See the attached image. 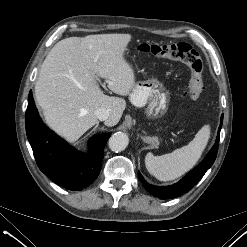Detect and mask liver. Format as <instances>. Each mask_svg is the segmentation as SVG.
I'll return each mask as SVG.
<instances>
[{"label": "liver", "instance_id": "obj_1", "mask_svg": "<svg viewBox=\"0 0 247 247\" xmlns=\"http://www.w3.org/2000/svg\"><path fill=\"white\" fill-rule=\"evenodd\" d=\"M131 38L130 34L69 37L51 49L42 64L35 97L46 123L58 135L75 142L98 123L95 111L99 108L110 112L107 126L119 122L126 101L105 95L97 81L105 79L117 95L130 94L135 73L124 53Z\"/></svg>", "mask_w": 247, "mask_h": 247}]
</instances>
